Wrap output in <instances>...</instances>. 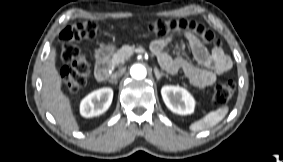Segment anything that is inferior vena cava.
Masks as SVG:
<instances>
[{"label":"inferior vena cava","instance_id":"1","mask_svg":"<svg viewBox=\"0 0 283 162\" xmlns=\"http://www.w3.org/2000/svg\"><path fill=\"white\" fill-rule=\"evenodd\" d=\"M123 73H124V69H122V70H120V71H118V72L112 74V75H111V80L117 81V79H118L119 77H121V76L123 75Z\"/></svg>","mask_w":283,"mask_h":162}]
</instances>
